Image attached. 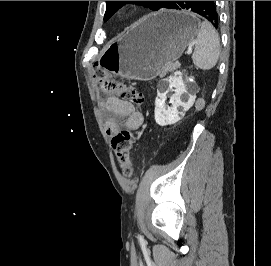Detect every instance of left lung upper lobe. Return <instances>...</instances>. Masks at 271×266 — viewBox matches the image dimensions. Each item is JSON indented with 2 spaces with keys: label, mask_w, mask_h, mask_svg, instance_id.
<instances>
[{
  "label": "left lung upper lobe",
  "mask_w": 271,
  "mask_h": 266,
  "mask_svg": "<svg viewBox=\"0 0 271 266\" xmlns=\"http://www.w3.org/2000/svg\"><path fill=\"white\" fill-rule=\"evenodd\" d=\"M126 3H135L148 7L151 10H159L161 8H166L171 1H106V12L104 16V21H107L119 8H121Z\"/></svg>",
  "instance_id": "5c2ea615"
}]
</instances>
